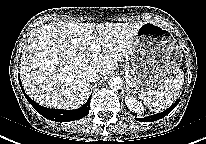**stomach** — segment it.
Listing matches in <instances>:
<instances>
[{
	"mask_svg": "<svg viewBox=\"0 0 206 144\" xmlns=\"http://www.w3.org/2000/svg\"><path fill=\"white\" fill-rule=\"evenodd\" d=\"M129 79L138 92L160 87L179 71L181 52L172 33L154 22L137 31L129 51Z\"/></svg>",
	"mask_w": 206,
	"mask_h": 144,
	"instance_id": "1",
	"label": "stomach"
}]
</instances>
